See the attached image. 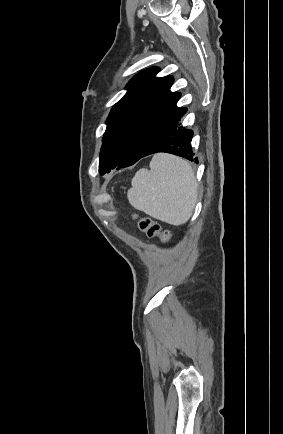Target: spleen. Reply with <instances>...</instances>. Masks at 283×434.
Here are the masks:
<instances>
[{"label": "spleen", "instance_id": "spleen-1", "mask_svg": "<svg viewBox=\"0 0 283 434\" xmlns=\"http://www.w3.org/2000/svg\"><path fill=\"white\" fill-rule=\"evenodd\" d=\"M137 210L172 225L190 218L197 198V183L190 163L168 154H156L150 170L140 169L127 193Z\"/></svg>", "mask_w": 283, "mask_h": 434}]
</instances>
